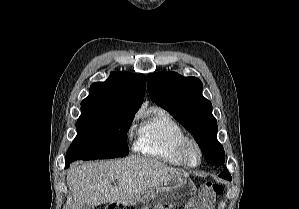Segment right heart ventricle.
I'll return each mask as SVG.
<instances>
[{
    "label": "right heart ventricle",
    "mask_w": 299,
    "mask_h": 209,
    "mask_svg": "<svg viewBox=\"0 0 299 209\" xmlns=\"http://www.w3.org/2000/svg\"><path fill=\"white\" fill-rule=\"evenodd\" d=\"M187 137L181 125L167 111L154 108L143 116L136 130L134 150L170 165L183 166L178 147Z\"/></svg>",
    "instance_id": "right-heart-ventricle-1"
}]
</instances>
